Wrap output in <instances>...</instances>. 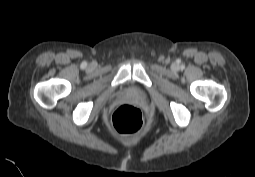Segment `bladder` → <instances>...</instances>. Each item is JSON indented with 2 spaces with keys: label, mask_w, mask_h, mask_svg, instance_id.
I'll list each match as a JSON object with an SVG mask.
<instances>
[{
  "label": "bladder",
  "mask_w": 255,
  "mask_h": 177,
  "mask_svg": "<svg viewBox=\"0 0 255 177\" xmlns=\"http://www.w3.org/2000/svg\"><path fill=\"white\" fill-rule=\"evenodd\" d=\"M129 94L135 95V96H139L141 94V91L139 89L136 88H130L128 90Z\"/></svg>",
  "instance_id": "31cf9c89"
}]
</instances>
